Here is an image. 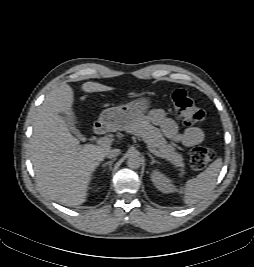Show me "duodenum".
<instances>
[{"label":"duodenum","instance_id":"1","mask_svg":"<svg viewBox=\"0 0 254 267\" xmlns=\"http://www.w3.org/2000/svg\"><path fill=\"white\" fill-rule=\"evenodd\" d=\"M94 131L97 134H104L106 132V127L103 124L98 123L94 127Z\"/></svg>","mask_w":254,"mask_h":267}]
</instances>
